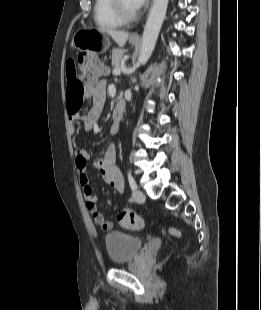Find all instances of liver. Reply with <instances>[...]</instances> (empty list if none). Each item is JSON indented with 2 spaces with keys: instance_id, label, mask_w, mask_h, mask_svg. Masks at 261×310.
<instances>
[{
  "instance_id": "1",
  "label": "liver",
  "mask_w": 261,
  "mask_h": 310,
  "mask_svg": "<svg viewBox=\"0 0 261 310\" xmlns=\"http://www.w3.org/2000/svg\"><path fill=\"white\" fill-rule=\"evenodd\" d=\"M100 32H104L111 36V38L117 43L118 46L124 47L127 39L129 37V33L125 31H117L111 29H99Z\"/></svg>"
}]
</instances>
